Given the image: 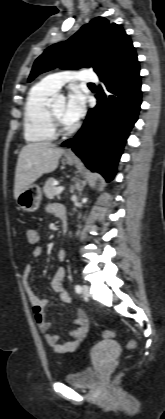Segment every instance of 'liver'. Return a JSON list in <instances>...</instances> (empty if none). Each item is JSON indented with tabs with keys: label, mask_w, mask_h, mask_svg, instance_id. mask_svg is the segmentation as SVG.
Instances as JSON below:
<instances>
[{
	"label": "liver",
	"mask_w": 165,
	"mask_h": 419,
	"mask_svg": "<svg viewBox=\"0 0 165 419\" xmlns=\"http://www.w3.org/2000/svg\"><path fill=\"white\" fill-rule=\"evenodd\" d=\"M63 153V148L49 142L30 143L24 146L19 153L16 166L15 199L23 189L33 184L43 174L53 172L58 167Z\"/></svg>",
	"instance_id": "liver-1"
}]
</instances>
